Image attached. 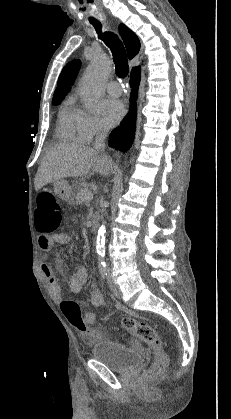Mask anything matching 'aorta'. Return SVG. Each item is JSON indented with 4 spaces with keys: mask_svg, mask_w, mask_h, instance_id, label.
Here are the masks:
<instances>
[{
    "mask_svg": "<svg viewBox=\"0 0 231 419\" xmlns=\"http://www.w3.org/2000/svg\"><path fill=\"white\" fill-rule=\"evenodd\" d=\"M112 63L104 55H98L88 66L82 82L81 96L85 107L90 112H96L99 109L100 99L103 93V84L110 74ZM106 240V223L103 222L98 229L96 239V254L100 265L104 264Z\"/></svg>",
    "mask_w": 231,
    "mask_h": 419,
    "instance_id": "obj_1",
    "label": "aorta"
}]
</instances>
